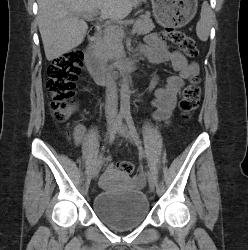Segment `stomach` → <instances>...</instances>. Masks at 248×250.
Instances as JSON below:
<instances>
[{
	"label": "stomach",
	"instance_id": "0dacf381",
	"mask_svg": "<svg viewBox=\"0 0 248 250\" xmlns=\"http://www.w3.org/2000/svg\"><path fill=\"white\" fill-rule=\"evenodd\" d=\"M153 15L164 27H182L189 23L197 12V0H151Z\"/></svg>",
	"mask_w": 248,
	"mask_h": 250
}]
</instances>
